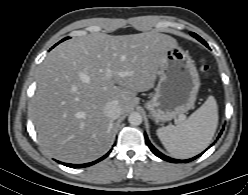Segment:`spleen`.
Wrapping results in <instances>:
<instances>
[{
	"mask_svg": "<svg viewBox=\"0 0 248 195\" xmlns=\"http://www.w3.org/2000/svg\"><path fill=\"white\" fill-rule=\"evenodd\" d=\"M218 125V107L213 96L176 126L157 129V136L174 157L186 159L207 148Z\"/></svg>",
	"mask_w": 248,
	"mask_h": 195,
	"instance_id": "obj_1",
	"label": "spleen"
}]
</instances>
